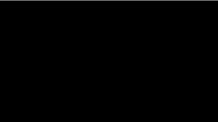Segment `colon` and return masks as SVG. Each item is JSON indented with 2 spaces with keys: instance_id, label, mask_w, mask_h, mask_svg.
<instances>
[{
  "instance_id": "1",
  "label": "colon",
  "mask_w": 218,
  "mask_h": 122,
  "mask_svg": "<svg viewBox=\"0 0 218 122\" xmlns=\"http://www.w3.org/2000/svg\"><path fill=\"white\" fill-rule=\"evenodd\" d=\"M173 59L170 57H163L162 64H161V71L162 72H169L170 68L173 66Z\"/></svg>"
}]
</instances>
